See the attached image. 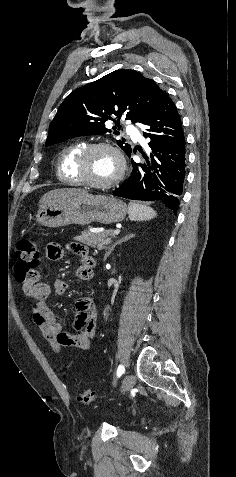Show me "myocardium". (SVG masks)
<instances>
[{"instance_id": "1", "label": "myocardium", "mask_w": 236, "mask_h": 477, "mask_svg": "<svg viewBox=\"0 0 236 477\" xmlns=\"http://www.w3.org/2000/svg\"><path fill=\"white\" fill-rule=\"evenodd\" d=\"M97 149L110 150L111 152L114 153L118 162V171L116 175L111 180L106 182H94L88 179L85 175V168H86L88 157L93 151ZM125 169H126V163H125L124 156L122 155V153L116 146L108 142H95V143L86 145L84 149L81 151V153L79 154V156L77 157L76 166H75V171L80 182L82 184H85L87 186H90L96 189H107L116 185L123 178Z\"/></svg>"}]
</instances>
